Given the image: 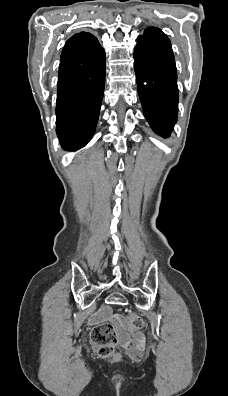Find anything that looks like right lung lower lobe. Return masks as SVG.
I'll use <instances>...</instances> for the list:
<instances>
[{
    "label": "right lung lower lobe",
    "mask_w": 228,
    "mask_h": 396,
    "mask_svg": "<svg viewBox=\"0 0 228 396\" xmlns=\"http://www.w3.org/2000/svg\"><path fill=\"white\" fill-rule=\"evenodd\" d=\"M105 52L98 40L78 49L68 40L61 54L56 101V133L65 150H77L92 138L105 86Z\"/></svg>",
    "instance_id": "right-lung-lower-lobe-1"
}]
</instances>
